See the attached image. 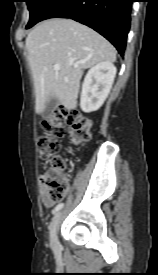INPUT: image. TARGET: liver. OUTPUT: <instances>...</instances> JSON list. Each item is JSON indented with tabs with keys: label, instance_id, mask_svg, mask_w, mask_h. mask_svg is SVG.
<instances>
[{
	"label": "liver",
	"instance_id": "6515ba94",
	"mask_svg": "<svg viewBox=\"0 0 158 275\" xmlns=\"http://www.w3.org/2000/svg\"><path fill=\"white\" fill-rule=\"evenodd\" d=\"M26 48L38 114L53 97L66 109H75L83 70L116 60L115 48L104 37L72 19L43 21L27 35Z\"/></svg>",
	"mask_w": 158,
	"mask_h": 275
}]
</instances>
